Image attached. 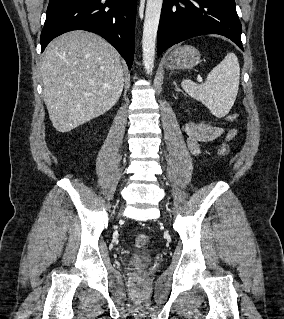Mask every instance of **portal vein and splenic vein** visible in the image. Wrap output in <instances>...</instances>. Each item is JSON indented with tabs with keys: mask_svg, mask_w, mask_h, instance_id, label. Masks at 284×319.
<instances>
[{
	"mask_svg": "<svg viewBox=\"0 0 284 319\" xmlns=\"http://www.w3.org/2000/svg\"><path fill=\"white\" fill-rule=\"evenodd\" d=\"M197 81H198V82H202V81H203L202 77H198V78H197Z\"/></svg>",
	"mask_w": 284,
	"mask_h": 319,
	"instance_id": "1",
	"label": "portal vein and splenic vein"
}]
</instances>
